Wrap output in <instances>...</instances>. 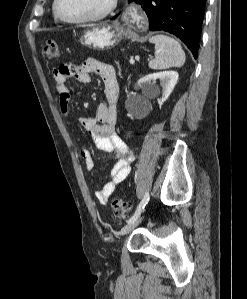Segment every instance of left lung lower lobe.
Masks as SVG:
<instances>
[{"label":"left lung lower lobe","instance_id":"0a47b994","mask_svg":"<svg viewBox=\"0 0 247 299\" xmlns=\"http://www.w3.org/2000/svg\"><path fill=\"white\" fill-rule=\"evenodd\" d=\"M133 1L144 6L151 31H166L177 36L197 58L206 0Z\"/></svg>","mask_w":247,"mask_h":299}]
</instances>
